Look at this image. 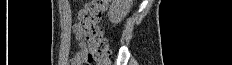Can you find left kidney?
Instances as JSON below:
<instances>
[{
    "instance_id": "left-kidney-1",
    "label": "left kidney",
    "mask_w": 232,
    "mask_h": 65,
    "mask_svg": "<svg viewBox=\"0 0 232 65\" xmlns=\"http://www.w3.org/2000/svg\"><path fill=\"white\" fill-rule=\"evenodd\" d=\"M132 0H112L108 11L109 20L112 23H120L132 7Z\"/></svg>"
}]
</instances>
